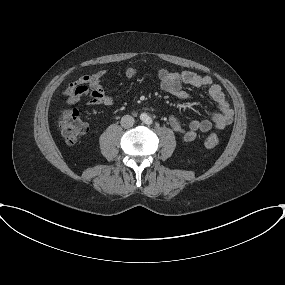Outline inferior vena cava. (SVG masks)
<instances>
[{"label": "inferior vena cava", "mask_w": 285, "mask_h": 285, "mask_svg": "<svg viewBox=\"0 0 285 285\" xmlns=\"http://www.w3.org/2000/svg\"><path fill=\"white\" fill-rule=\"evenodd\" d=\"M135 120L132 116L130 115H124L122 118H121V126L123 128H130L133 126Z\"/></svg>", "instance_id": "inferior-vena-cava-1"}]
</instances>
